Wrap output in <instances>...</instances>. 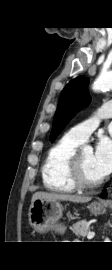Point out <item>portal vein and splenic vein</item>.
Here are the masks:
<instances>
[{
	"label": "portal vein and splenic vein",
	"mask_w": 112,
	"mask_h": 270,
	"mask_svg": "<svg viewBox=\"0 0 112 270\" xmlns=\"http://www.w3.org/2000/svg\"><path fill=\"white\" fill-rule=\"evenodd\" d=\"M95 236V233L94 232H89L88 235H87V238L88 239H93Z\"/></svg>",
	"instance_id": "obj_1"
}]
</instances>
